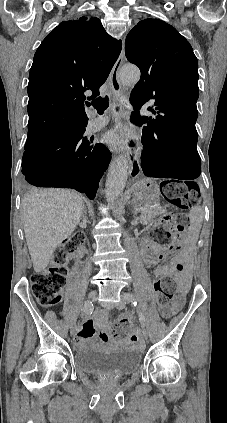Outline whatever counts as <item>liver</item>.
Masks as SVG:
<instances>
[{
    "label": "liver",
    "instance_id": "6515ba94",
    "mask_svg": "<svg viewBox=\"0 0 227 423\" xmlns=\"http://www.w3.org/2000/svg\"><path fill=\"white\" fill-rule=\"evenodd\" d=\"M83 202L74 190H34L22 200L24 233L34 271H43L82 219Z\"/></svg>",
    "mask_w": 227,
    "mask_h": 423
}]
</instances>
